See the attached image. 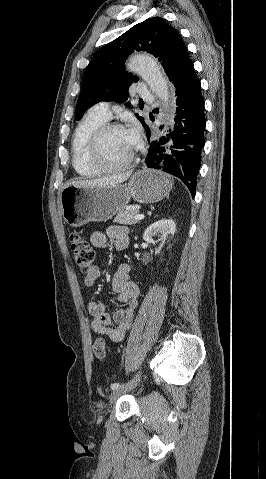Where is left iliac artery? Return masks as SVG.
<instances>
[{
  "mask_svg": "<svg viewBox=\"0 0 266 479\" xmlns=\"http://www.w3.org/2000/svg\"><path fill=\"white\" fill-rule=\"evenodd\" d=\"M120 387H121V385H120L119 383H113V384L111 385V389H112V390H117V389H119Z\"/></svg>",
  "mask_w": 266,
  "mask_h": 479,
  "instance_id": "44dca946",
  "label": "left iliac artery"
}]
</instances>
